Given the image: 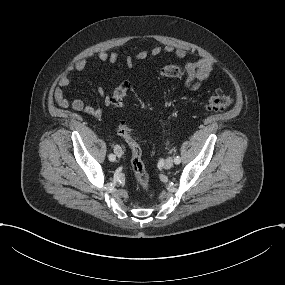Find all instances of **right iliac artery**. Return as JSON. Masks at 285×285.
Listing matches in <instances>:
<instances>
[{"mask_svg": "<svg viewBox=\"0 0 285 285\" xmlns=\"http://www.w3.org/2000/svg\"><path fill=\"white\" fill-rule=\"evenodd\" d=\"M115 155H113V154H109V160L110 161H115Z\"/></svg>", "mask_w": 285, "mask_h": 285, "instance_id": "obj_1", "label": "right iliac artery"}]
</instances>
